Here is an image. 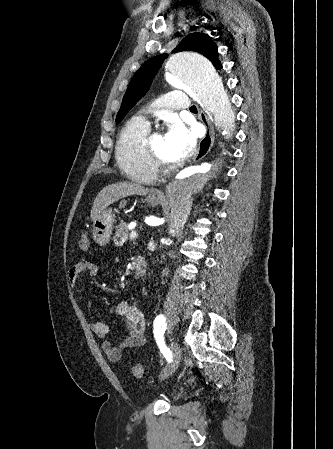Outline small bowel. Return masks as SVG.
I'll return each instance as SVG.
<instances>
[{
	"label": "small bowel",
	"instance_id": "small-bowel-1",
	"mask_svg": "<svg viewBox=\"0 0 333 449\" xmlns=\"http://www.w3.org/2000/svg\"><path fill=\"white\" fill-rule=\"evenodd\" d=\"M86 272L96 274L98 272L97 265L89 260L83 259L77 262L69 270V281L73 288L77 286L78 280ZM115 312L125 319L127 323V334L117 345H114L110 340L105 339L109 333V327L105 323L95 321L91 324L93 333L99 338L104 339L101 348L112 362L119 361L125 351L142 346L145 343L146 331L145 317L132 303L128 301H119L115 305Z\"/></svg>",
	"mask_w": 333,
	"mask_h": 449
}]
</instances>
